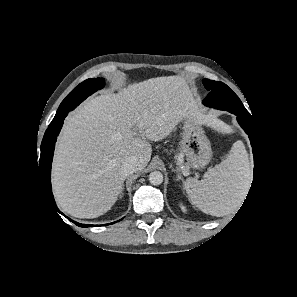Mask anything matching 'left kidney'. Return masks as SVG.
<instances>
[{"label": "left kidney", "mask_w": 297, "mask_h": 297, "mask_svg": "<svg viewBox=\"0 0 297 297\" xmlns=\"http://www.w3.org/2000/svg\"><path fill=\"white\" fill-rule=\"evenodd\" d=\"M180 206H181L182 211L185 213L187 211L186 207L184 205H182V204Z\"/></svg>", "instance_id": "5707ae66"}]
</instances>
